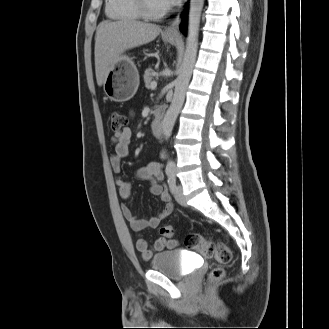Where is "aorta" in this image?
<instances>
[{"instance_id":"aorta-1","label":"aorta","mask_w":329,"mask_h":329,"mask_svg":"<svg viewBox=\"0 0 329 329\" xmlns=\"http://www.w3.org/2000/svg\"><path fill=\"white\" fill-rule=\"evenodd\" d=\"M203 5L204 0H190L188 33L184 58L180 67L179 75L175 81V90L172 102L161 125L162 133L166 139L172 134L175 121L183 106L185 93L192 75V70L197 56L198 33ZM175 169V163L172 160H169L166 165V171L173 172Z\"/></svg>"}]
</instances>
